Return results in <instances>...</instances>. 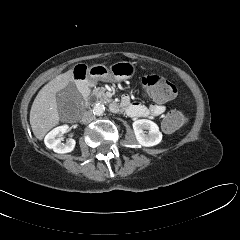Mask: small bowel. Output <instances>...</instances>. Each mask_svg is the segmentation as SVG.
<instances>
[{"label": "small bowel", "instance_id": "small-bowel-1", "mask_svg": "<svg viewBox=\"0 0 240 240\" xmlns=\"http://www.w3.org/2000/svg\"><path fill=\"white\" fill-rule=\"evenodd\" d=\"M121 106L127 115L134 118L156 117L162 115L166 110V107L160 103H153L146 106L138 102H133L129 95H124L122 97Z\"/></svg>", "mask_w": 240, "mask_h": 240}]
</instances>
